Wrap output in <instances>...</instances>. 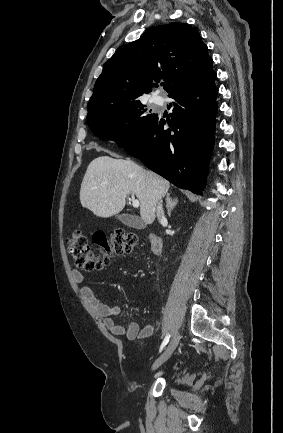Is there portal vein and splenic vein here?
<instances>
[{
    "label": "portal vein and splenic vein",
    "mask_w": 283,
    "mask_h": 433,
    "mask_svg": "<svg viewBox=\"0 0 283 433\" xmlns=\"http://www.w3.org/2000/svg\"><path fill=\"white\" fill-rule=\"evenodd\" d=\"M131 200H132L133 206H139L140 202H139V200H136L134 194H132Z\"/></svg>",
    "instance_id": "obj_1"
}]
</instances>
